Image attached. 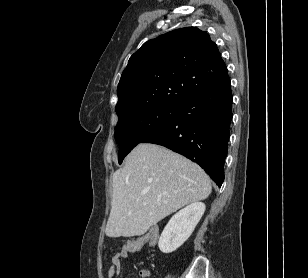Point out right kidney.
<instances>
[{
    "label": "right kidney",
    "mask_w": 308,
    "mask_h": 278,
    "mask_svg": "<svg viewBox=\"0 0 308 278\" xmlns=\"http://www.w3.org/2000/svg\"><path fill=\"white\" fill-rule=\"evenodd\" d=\"M205 211V204L195 202L176 213L164 228L158 247L163 253L178 249L192 234Z\"/></svg>",
    "instance_id": "1"
}]
</instances>
